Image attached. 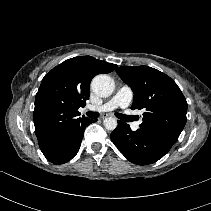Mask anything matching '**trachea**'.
I'll return each mask as SVG.
<instances>
[{
	"label": "trachea",
	"mask_w": 211,
	"mask_h": 211,
	"mask_svg": "<svg viewBox=\"0 0 211 211\" xmlns=\"http://www.w3.org/2000/svg\"><path fill=\"white\" fill-rule=\"evenodd\" d=\"M86 115L89 118H92V119H96V118L99 117L98 112H92V111L87 112ZM115 115H116L117 118H119L123 121H126V122L132 121V119H133L131 116L123 115V114H120V113H116Z\"/></svg>",
	"instance_id": "obj_1"
}]
</instances>
